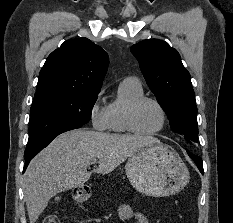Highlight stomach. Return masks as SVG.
I'll use <instances>...</instances> for the list:
<instances>
[{
    "instance_id": "1",
    "label": "stomach",
    "mask_w": 233,
    "mask_h": 223,
    "mask_svg": "<svg viewBox=\"0 0 233 223\" xmlns=\"http://www.w3.org/2000/svg\"><path fill=\"white\" fill-rule=\"evenodd\" d=\"M126 175L139 193L162 197L174 195L187 185L190 179L188 167L183 163L179 153L165 143H146L139 151L130 155L125 165ZM76 201H84L91 191L86 193L84 187H75Z\"/></svg>"
}]
</instances>
